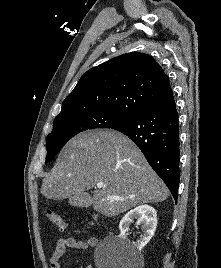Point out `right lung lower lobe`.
Listing matches in <instances>:
<instances>
[{
	"instance_id": "98d812e1",
	"label": "right lung lower lobe",
	"mask_w": 221,
	"mask_h": 268,
	"mask_svg": "<svg viewBox=\"0 0 221 268\" xmlns=\"http://www.w3.org/2000/svg\"><path fill=\"white\" fill-rule=\"evenodd\" d=\"M112 129L128 136L140 148L153 170L177 200L180 151L175 102L141 114Z\"/></svg>"
}]
</instances>
